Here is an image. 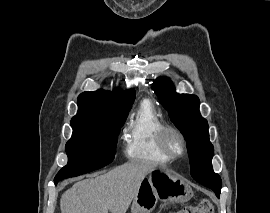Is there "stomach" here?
I'll return each instance as SVG.
<instances>
[{
  "label": "stomach",
  "instance_id": "0dacf381",
  "mask_svg": "<svg viewBox=\"0 0 270 213\" xmlns=\"http://www.w3.org/2000/svg\"><path fill=\"white\" fill-rule=\"evenodd\" d=\"M193 196L188 182L167 169H156L144 179L133 199L131 213H151L158 202L185 203Z\"/></svg>",
  "mask_w": 270,
  "mask_h": 213
}]
</instances>
